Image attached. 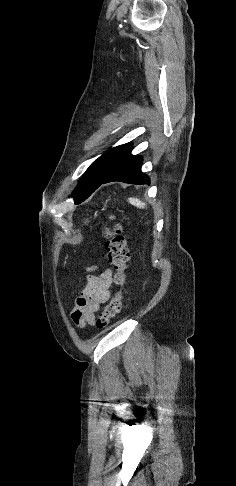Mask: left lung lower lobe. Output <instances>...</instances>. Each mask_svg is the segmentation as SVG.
<instances>
[{"label":"left lung lower lobe","mask_w":236,"mask_h":486,"mask_svg":"<svg viewBox=\"0 0 236 486\" xmlns=\"http://www.w3.org/2000/svg\"><path fill=\"white\" fill-rule=\"evenodd\" d=\"M130 149L117 162L100 185L113 181L131 184H148L150 182L149 177L141 171L142 158L132 155Z\"/></svg>","instance_id":"obj_1"}]
</instances>
